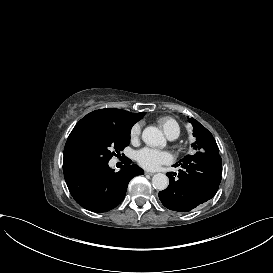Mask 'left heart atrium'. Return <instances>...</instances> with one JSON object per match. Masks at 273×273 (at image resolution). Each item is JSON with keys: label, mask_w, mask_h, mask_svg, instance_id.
Masks as SVG:
<instances>
[{"label": "left heart atrium", "mask_w": 273, "mask_h": 273, "mask_svg": "<svg viewBox=\"0 0 273 273\" xmlns=\"http://www.w3.org/2000/svg\"><path fill=\"white\" fill-rule=\"evenodd\" d=\"M137 160L145 168L155 169L169 160V154L153 148L145 147L138 151Z\"/></svg>", "instance_id": "obj_1"}]
</instances>
